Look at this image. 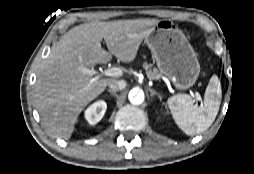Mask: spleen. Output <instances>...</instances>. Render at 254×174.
<instances>
[{
	"instance_id": "3e777b00",
	"label": "spleen",
	"mask_w": 254,
	"mask_h": 174,
	"mask_svg": "<svg viewBox=\"0 0 254 174\" xmlns=\"http://www.w3.org/2000/svg\"><path fill=\"white\" fill-rule=\"evenodd\" d=\"M222 90L217 76H213L206 88L204 103L194 105L187 94H178L168 99V106L175 123L187 135L206 131L214 122L220 108Z\"/></svg>"
}]
</instances>
